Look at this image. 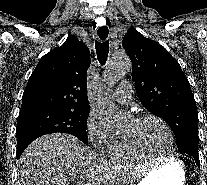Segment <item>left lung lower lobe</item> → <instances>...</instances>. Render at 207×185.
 Segmentation results:
<instances>
[{
	"instance_id": "left-lung-lower-lobe-1",
	"label": "left lung lower lobe",
	"mask_w": 207,
	"mask_h": 185,
	"mask_svg": "<svg viewBox=\"0 0 207 185\" xmlns=\"http://www.w3.org/2000/svg\"><path fill=\"white\" fill-rule=\"evenodd\" d=\"M190 157H192L193 159H194V161L198 164V165H200V161H199V156H198V154H191V155H189Z\"/></svg>"
}]
</instances>
